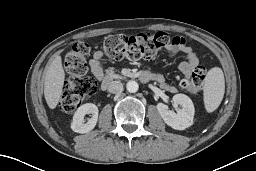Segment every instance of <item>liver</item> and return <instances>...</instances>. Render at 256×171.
<instances>
[{
	"label": "liver",
	"instance_id": "liver-1",
	"mask_svg": "<svg viewBox=\"0 0 256 171\" xmlns=\"http://www.w3.org/2000/svg\"><path fill=\"white\" fill-rule=\"evenodd\" d=\"M65 72L60 55H56L46 70L44 96L50 109H55L62 95Z\"/></svg>",
	"mask_w": 256,
	"mask_h": 171
}]
</instances>
